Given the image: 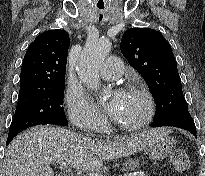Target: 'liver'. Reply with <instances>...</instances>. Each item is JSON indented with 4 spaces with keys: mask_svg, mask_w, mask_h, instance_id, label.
Segmentation results:
<instances>
[{
    "mask_svg": "<svg viewBox=\"0 0 205 176\" xmlns=\"http://www.w3.org/2000/svg\"><path fill=\"white\" fill-rule=\"evenodd\" d=\"M165 134L159 128L117 141H95L59 127H34L7 147L6 176H54L50 164L61 162L79 171H97L103 161L142 151Z\"/></svg>",
    "mask_w": 205,
    "mask_h": 176,
    "instance_id": "1",
    "label": "liver"
}]
</instances>
